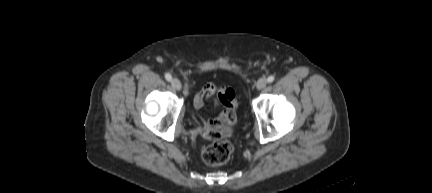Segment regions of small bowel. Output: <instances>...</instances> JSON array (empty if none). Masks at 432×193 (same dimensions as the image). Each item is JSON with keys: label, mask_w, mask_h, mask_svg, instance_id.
<instances>
[{"label": "small bowel", "mask_w": 432, "mask_h": 193, "mask_svg": "<svg viewBox=\"0 0 432 193\" xmlns=\"http://www.w3.org/2000/svg\"><path fill=\"white\" fill-rule=\"evenodd\" d=\"M217 91L213 83H207L198 91L194 97V107L202 109L205 100L211 99ZM237 123V117L234 111L224 109L222 113L214 118H207L203 125V135L206 138L218 139L232 134Z\"/></svg>", "instance_id": "small-bowel-1"}]
</instances>
